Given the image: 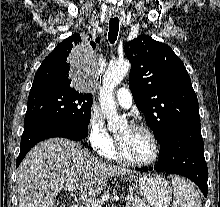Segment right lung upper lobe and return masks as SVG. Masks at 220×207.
<instances>
[{
	"label": "right lung upper lobe",
	"instance_id": "cb5924a9",
	"mask_svg": "<svg viewBox=\"0 0 220 207\" xmlns=\"http://www.w3.org/2000/svg\"><path fill=\"white\" fill-rule=\"evenodd\" d=\"M81 41L80 35L74 33L59 43L41 63L34 77L32 87L43 85L71 87L68 57L72 48L81 43ZM97 41H99V38H97ZM90 44L93 49L96 47L95 42H90Z\"/></svg>",
	"mask_w": 220,
	"mask_h": 207
}]
</instances>
